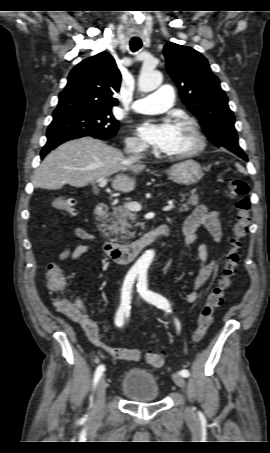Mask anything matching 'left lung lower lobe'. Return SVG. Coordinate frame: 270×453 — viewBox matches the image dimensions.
I'll list each match as a JSON object with an SVG mask.
<instances>
[{
  "instance_id": "obj_1",
  "label": "left lung lower lobe",
  "mask_w": 270,
  "mask_h": 453,
  "mask_svg": "<svg viewBox=\"0 0 270 453\" xmlns=\"http://www.w3.org/2000/svg\"><path fill=\"white\" fill-rule=\"evenodd\" d=\"M232 152L235 153L236 155H238L239 157H241L242 159H244L245 161H247V157L244 154V152L242 151V149L234 150Z\"/></svg>"
}]
</instances>
